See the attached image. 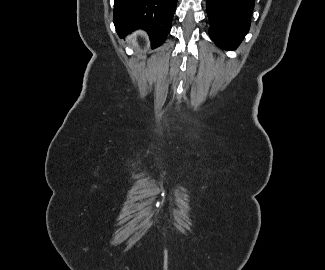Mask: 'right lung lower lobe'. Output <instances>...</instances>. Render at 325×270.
Listing matches in <instances>:
<instances>
[{
  "mask_svg": "<svg viewBox=\"0 0 325 270\" xmlns=\"http://www.w3.org/2000/svg\"><path fill=\"white\" fill-rule=\"evenodd\" d=\"M177 0H115L113 21L117 33L125 37L137 29L150 36L152 48L166 39Z\"/></svg>",
  "mask_w": 325,
  "mask_h": 270,
  "instance_id": "98d812e1",
  "label": "right lung lower lobe"
}]
</instances>
